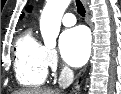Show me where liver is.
Wrapping results in <instances>:
<instances>
[{
	"label": "liver",
	"mask_w": 121,
	"mask_h": 94,
	"mask_svg": "<svg viewBox=\"0 0 121 94\" xmlns=\"http://www.w3.org/2000/svg\"><path fill=\"white\" fill-rule=\"evenodd\" d=\"M17 94H58L55 90L33 88L17 92Z\"/></svg>",
	"instance_id": "liver-1"
}]
</instances>
